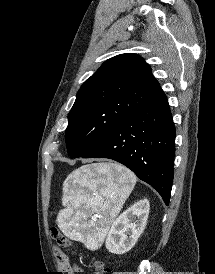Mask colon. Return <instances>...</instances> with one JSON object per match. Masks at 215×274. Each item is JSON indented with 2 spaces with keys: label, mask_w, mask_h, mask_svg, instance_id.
<instances>
[{
  "label": "colon",
  "mask_w": 215,
  "mask_h": 274,
  "mask_svg": "<svg viewBox=\"0 0 215 274\" xmlns=\"http://www.w3.org/2000/svg\"><path fill=\"white\" fill-rule=\"evenodd\" d=\"M52 237L60 247L70 246L69 239L57 227L52 228ZM94 267L97 270V274H111V270L105 267L104 263L100 260L94 261Z\"/></svg>",
  "instance_id": "1"
}]
</instances>
